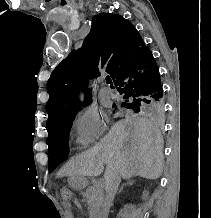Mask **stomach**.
I'll return each mask as SVG.
<instances>
[{
    "instance_id": "stomach-1",
    "label": "stomach",
    "mask_w": 211,
    "mask_h": 218,
    "mask_svg": "<svg viewBox=\"0 0 211 218\" xmlns=\"http://www.w3.org/2000/svg\"><path fill=\"white\" fill-rule=\"evenodd\" d=\"M69 184L71 187L75 189H82L86 186L87 181L84 175L74 173V174H71L69 177Z\"/></svg>"
}]
</instances>
